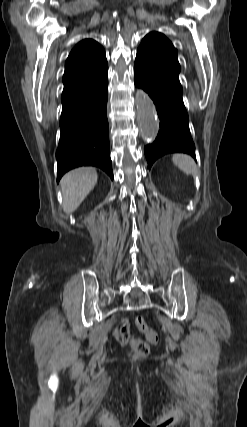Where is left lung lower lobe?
<instances>
[{
    "instance_id": "1",
    "label": "left lung lower lobe",
    "mask_w": 247,
    "mask_h": 427,
    "mask_svg": "<svg viewBox=\"0 0 247 427\" xmlns=\"http://www.w3.org/2000/svg\"><path fill=\"white\" fill-rule=\"evenodd\" d=\"M134 80L135 85L151 97L160 119L161 130L155 141L144 148L148 168L159 157L169 153H186L196 160L182 89L168 83L137 59L134 64Z\"/></svg>"
}]
</instances>
